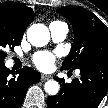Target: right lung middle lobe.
Listing matches in <instances>:
<instances>
[{
	"instance_id": "1",
	"label": "right lung middle lobe",
	"mask_w": 108,
	"mask_h": 108,
	"mask_svg": "<svg viewBox=\"0 0 108 108\" xmlns=\"http://www.w3.org/2000/svg\"><path fill=\"white\" fill-rule=\"evenodd\" d=\"M23 33L15 26L11 19L0 14V63L4 62L6 53L4 48L13 49L14 46L20 45Z\"/></svg>"
}]
</instances>
